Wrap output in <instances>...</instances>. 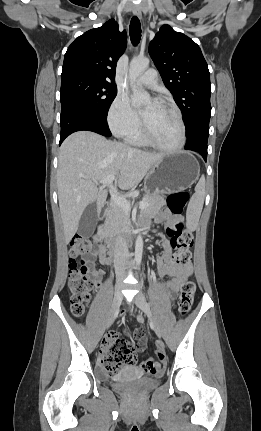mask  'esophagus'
Instances as JSON below:
<instances>
[{"mask_svg":"<svg viewBox=\"0 0 261 431\" xmlns=\"http://www.w3.org/2000/svg\"><path fill=\"white\" fill-rule=\"evenodd\" d=\"M133 13H134L137 17H139V18H141V17H142L141 9H140L138 6H134V7H133Z\"/></svg>","mask_w":261,"mask_h":431,"instance_id":"34e87169","label":"esophagus"}]
</instances>
